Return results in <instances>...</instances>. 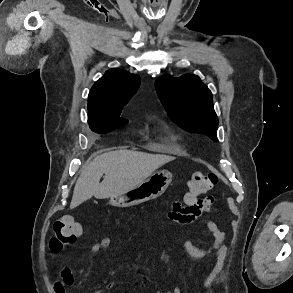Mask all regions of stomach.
<instances>
[{
    "instance_id": "obj_1",
    "label": "stomach",
    "mask_w": 293,
    "mask_h": 293,
    "mask_svg": "<svg viewBox=\"0 0 293 293\" xmlns=\"http://www.w3.org/2000/svg\"><path fill=\"white\" fill-rule=\"evenodd\" d=\"M172 181L168 171H157L136 187L111 197L110 203L115 207H130L160 197Z\"/></svg>"
}]
</instances>
